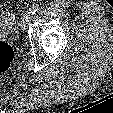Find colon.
Here are the masks:
<instances>
[{"label": "colon", "instance_id": "obj_1", "mask_svg": "<svg viewBox=\"0 0 113 113\" xmlns=\"http://www.w3.org/2000/svg\"><path fill=\"white\" fill-rule=\"evenodd\" d=\"M1 13L7 14L6 9H1ZM14 50L8 43L0 40V73L5 72L14 60Z\"/></svg>", "mask_w": 113, "mask_h": 113}]
</instances>
